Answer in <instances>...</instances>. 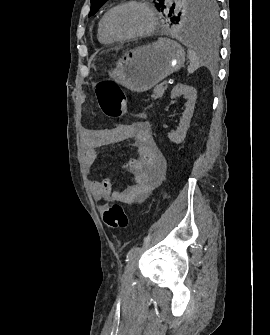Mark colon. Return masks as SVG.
<instances>
[{
    "label": "colon",
    "mask_w": 270,
    "mask_h": 335,
    "mask_svg": "<svg viewBox=\"0 0 270 335\" xmlns=\"http://www.w3.org/2000/svg\"><path fill=\"white\" fill-rule=\"evenodd\" d=\"M101 112L110 119L119 118L129 108L124 93L111 81L93 86ZM103 220L114 230H124L129 225V217L119 203H110L104 207Z\"/></svg>",
    "instance_id": "colon-1"
}]
</instances>
